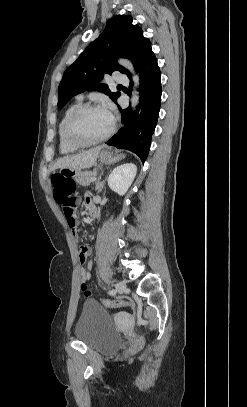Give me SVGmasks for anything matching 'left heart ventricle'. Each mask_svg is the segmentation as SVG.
I'll list each match as a JSON object with an SVG mask.
<instances>
[{"instance_id": "1", "label": "left heart ventricle", "mask_w": 247, "mask_h": 407, "mask_svg": "<svg viewBox=\"0 0 247 407\" xmlns=\"http://www.w3.org/2000/svg\"><path fill=\"white\" fill-rule=\"evenodd\" d=\"M112 121L103 109L90 110L81 114L73 126L74 135L83 141H92L104 136Z\"/></svg>"}]
</instances>
